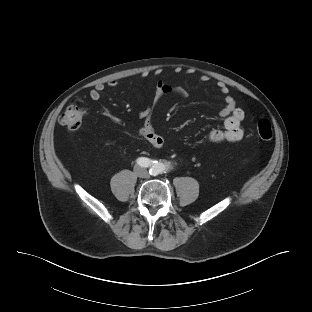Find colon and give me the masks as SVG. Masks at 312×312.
I'll list each match as a JSON object with an SVG mask.
<instances>
[{
  "label": "colon",
  "mask_w": 312,
  "mask_h": 312,
  "mask_svg": "<svg viewBox=\"0 0 312 312\" xmlns=\"http://www.w3.org/2000/svg\"><path fill=\"white\" fill-rule=\"evenodd\" d=\"M84 113L85 109L81 103L71 102L60 115L59 124L67 129H77L81 124ZM256 130L260 139L264 141L271 140L273 131L271 123L267 119H260L257 122Z\"/></svg>",
  "instance_id": "1"
}]
</instances>
